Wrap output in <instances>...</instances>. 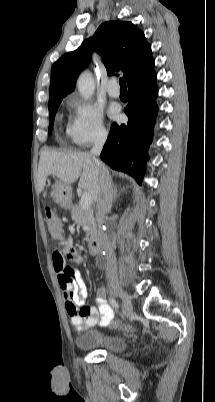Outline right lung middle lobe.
Returning a JSON list of instances; mask_svg holds the SVG:
<instances>
[{
	"mask_svg": "<svg viewBox=\"0 0 215 402\" xmlns=\"http://www.w3.org/2000/svg\"><path fill=\"white\" fill-rule=\"evenodd\" d=\"M62 99L63 98H58V99H55V100H53V101H51L49 103V117H50L49 133H51L52 126H53V123H54L55 114H56V111H57L58 106L60 105Z\"/></svg>",
	"mask_w": 215,
	"mask_h": 402,
	"instance_id": "1",
	"label": "right lung middle lobe"
}]
</instances>
